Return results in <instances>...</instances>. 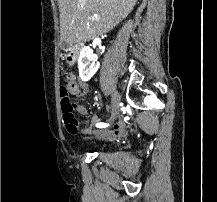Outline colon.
Here are the masks:
<instances>
[{"instance_id": "obj_1", "label": "colon", "mask_w": 217, "mask_h": 202, "mask_svg": "<svg viewBox=\"0 0 217 202\" xmlns=\"http://www.w3.org/2000/svg\"><path fill=\"white\" fill-rule=\"evenodd\" d=\"M60 55H69V50H60ZM60 78H71V73H60ZM71 89L68 85H65L61 89V99H62V108H63V116L65 120V125L67 127V131L70 134H77L80 132L78 120L75 117L76 106L73 102V99L70 95Z\"/></svg>"}]
</instances>
